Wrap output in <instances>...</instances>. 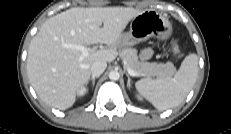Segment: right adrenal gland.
Masks as SVG:
<instances>
[{"label": "right adrenal gland", "instance_id": "1", "mask_svg": "<svg viewBox=\"0 0 231 134\" xmlns=\"http://www.w3.org/2000/svg\"><path fill=\"white\" fill-rule=\"evenodd\" d=\"M96 78H99V76H92V77H91V80H92V87H94V85H95V80H96Z\"/></svg>", "mask_w": 231, "mask_h": 134}]
</instances>
